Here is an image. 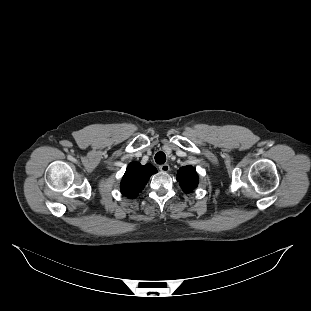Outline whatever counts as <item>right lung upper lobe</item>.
<instances>
[{
    "mask_svg": "<svg viewBox=\"0 0 311 311\" xmlns=\"http://www.w3.org/2000/svg\"><path fill=\"white\" fill-rule=\"evenodd\" d=\"M157 169L151 164L141 165L138 162H132L126 169V172L121 181V192L128 198L138 196L151 175L155 174Z\"/></svg>",
    "mask_w": 311,
    "mask_h": 311,
    "instance_id": "cb5924a9",
    "label": "right lung upper lobe"
}]
</instances>
